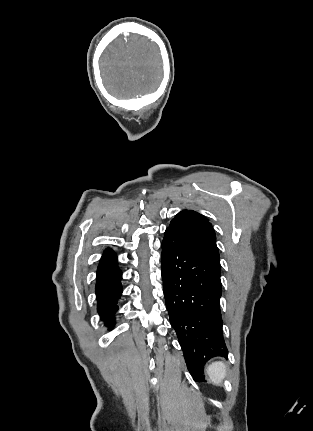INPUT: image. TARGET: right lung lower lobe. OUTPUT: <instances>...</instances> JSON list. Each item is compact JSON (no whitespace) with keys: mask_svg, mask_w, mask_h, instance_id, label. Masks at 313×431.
I'll use <instances>...</instances> for the list:
<instances>
[{"mask_svg":"<svg viewBox=\"0 0 313 431\" xmlns=\"http://www.w3.org/2000/svg\"><path fill=\"white\" fill-rule=\"evenodd\" d=\"M117 264V255L107 248L101 257L96 275L97 311L108 328L115 324V313L119 309L117 301L123 291L122 273Z\"/></svg>","mask_w":313,"mask_h":431,"instance_id":"obj_1","label":"right lung lower lobe"}]
</instances>
